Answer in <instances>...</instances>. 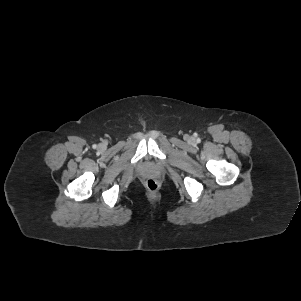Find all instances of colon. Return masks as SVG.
I'll return each mask as SVG.
<instances>
[{
    "mask_svg": "<svg viewBox=\"0 0 301 301\" xmlns=\"http://www.w3.org/2000/svg\"><path fill=\"white\" fill-rule=\"evenodd\" d=\"M146 187L150 192H156L159 188V184L156 180L154 179H149L146 182Z\"/></svg>",
    "mask_w": 301,
    "mask_h": 301,
    "instance_id": "colon-1",
    "label": "colon"
}]
</instances>
